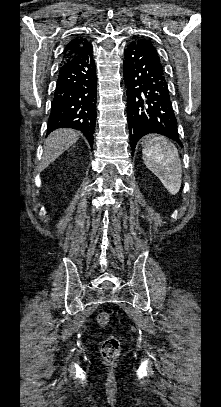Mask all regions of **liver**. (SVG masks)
I'll list each match as a JSON object with an SVG mask.
<instances>
[{
  "label": "liver",
  "mask_w": 221,
  "mask_h": 407,
  "mask_svg": "<svg viewBox=\"0 0 221 407\" xmlns=\"http://www.w3.org/2000/svg\"><path fill=\"white\" fill-rule=\"evenodd\" d=\"M79 136L80 133L73 129H57L50 133L44 143L40 170L48 167L57 157L76 143Z\"/></svg>",
  "instance_id": "6515ba94"
}]
</instances>
